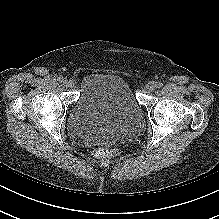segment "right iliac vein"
<instances>
[{
  "mask_svg": "<svg viewBox=\"0 0 219 219\" xmlns=\"http://www.w3.org/2000/svg\"><path fill=\"white\" fill-rule=\"evenodd\" d=\"M63 84L66 86V87H70V88H73L76 84V82L74 80H64Z\"/></svg>",
  "mask_w": 219,
  "mask_h": 219,
  "instance_id": "right-iliac-vein-1",
  "label": "right iliac vein"
}]
</instances>
